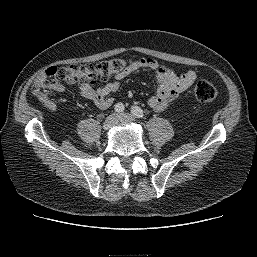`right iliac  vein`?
<instances>
[{
    "label": "right iliac vein",
    "instance_id": "1",
    "mask_svg": "<svg viewBox=\"0 0 257 257\" xmlns=\"http://www.w3.org/2000/svg\"><path fill=\"white\" fill-rule=\"evenodd\" d=\"M118 121H119V116L117 114L109 115L103 123V129L110 130L118 123Z\"/></svg>",
    "mask_w": 257,
    "mask_h": 257
}]
</instances>
